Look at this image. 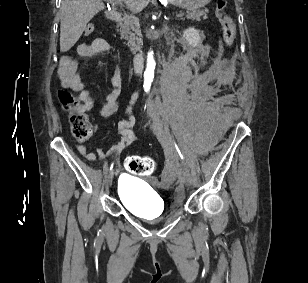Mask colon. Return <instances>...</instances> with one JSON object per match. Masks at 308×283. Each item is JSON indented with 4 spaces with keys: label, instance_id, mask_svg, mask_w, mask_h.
I'll list each match as a JSON object with an SVG mask.
<instances>
[{
    "label": "colon",
    "instance_id": "colon-1",
    "mask_svg": "<svg viewBox=\"0 0 308 283\" xmlns=\"http://www.w3.org/2000/svg\"><path fill=\"white\" fill-rule=\"evenodd\" d=\"M216 14L222 27L223 39L227 46H231L235 37V24L228 12L227 1L218 0L216 3ZM94 26L88 24L85 28V35H90ZM58 99L62 108L69 112L71 133L78 140H87L92 134V125L88 116L81 110V102L70 92L60 91ZM128 171L136 175L147 176L154 172L155 162L148 156H130L125 161Z\"/></svg>",
    "mask_w": 308,
    "mask_h": 283
}]
</instances>
